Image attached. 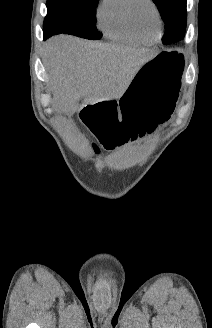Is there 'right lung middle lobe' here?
<instances>
[{
  "label": "right lung middle lobe",
  "mask_w": 212,
  "mask_h": 328,
  "mask_svg": "<svg viewBox=\"0 0 212 328\" xmlns=\"http://www.w3.org/2000/svg\"><path fill=\"white\" fill-rule=\"evenodd\" d=\"M98 1L47 0L43 31L48 36L67 33L91 40L102 38L95 22Z\"/></svg>",
  "instance_id": "obj_1"
}]
</instances>
